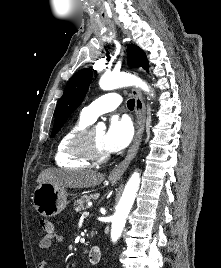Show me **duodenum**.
Instances as JSON below:
<instances>
[{"label":"duodenum","instance_id":"1","mask_svg":"<svg viewBox=\"0 0 221 268\" xmlns=\"http://www.w3.org/2000/svg\"><path fill=\"white\" fill-rule=\"evenodd\" d=\"M102 257L101 247L98 245L92 246L88 252V261L91 264H97L100 262Z\"/></svg>","mask_w":221,"mask_h":268}]
</instances>
